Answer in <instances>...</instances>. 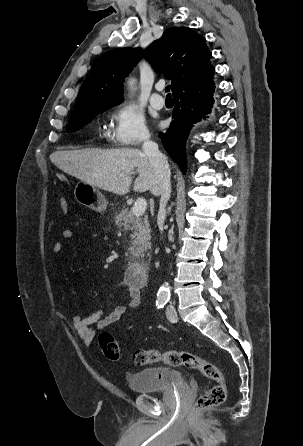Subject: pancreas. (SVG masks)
Wrapping results in <instances>:
<instances>
[{"label":"pancreas","instance_id":"1","mask_svg":"<svg viewBox=\"0 0 303 446\" xmlns=\"http://www.w3.org/2000/svg\"><path fill=\"white\" fill-rule=\"evenodd\" d=\"M115 224L117 227H123L124 230H132V240L129 247V256L131 258H139L144 256V252L150 248V232L148 218L145 216L135 217L132 211L127 208L115 216Z\"/></svg>","mask_w":303,"mask_h":446}]
</instances>
